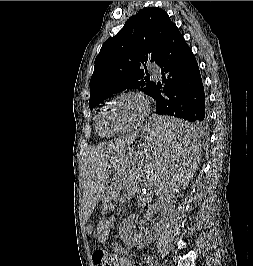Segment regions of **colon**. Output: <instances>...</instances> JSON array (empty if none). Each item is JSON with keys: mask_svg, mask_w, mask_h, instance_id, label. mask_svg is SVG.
Wrapping results in <instances>:
<instances>
[{"mask_svg": "<svg viewBox=\"0 0 253 266\" xmlns=\"http://www.w3.org/2000/svg\"><path fill=\"white\" fill-rule=\"evenodd\" d=\"M93 261L96 266H119L118 258L103 250L93 253Z\"/></svg>", "mask_w": 253, "mask_h": 266, "instance_id": "obj_1", "label": "colon"}]
</instances>
